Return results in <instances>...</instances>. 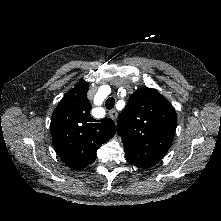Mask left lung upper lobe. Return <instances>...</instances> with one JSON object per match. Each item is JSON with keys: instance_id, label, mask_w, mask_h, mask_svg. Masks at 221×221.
<instances>
[{"instance_id": "5c2ea615", "label": "left lung upper lobe", "mask_w": 221, "mask_h": 221, "mask_svg": "<svg viewBox=\"0 0 221 221\" xmlns=\"http://www.w3.org/2000/svg\"><path fill=\"white\" fill-rule=\"evenodd\" d=\"M176 125L174 108L157 90H136L117 123L127 161L140 168L154 166L167 153Z\"/></svg>"}]
</instances>
